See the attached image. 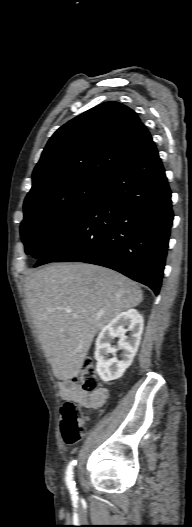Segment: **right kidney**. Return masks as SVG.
<instances>
[{"mask_svg": "<svg viewBox=\"0 0 192 527\" xmlns=\"http://www.w3.org/2000/svg\"><path fill=\"white\" fill-rule=\"evenodd\" d=\"M143 325L142 315L130 309L120 313L101 329L96 339L95 359L96 371L104 382L119 379L131 365L141 341ZM127 331H131L129 337L125 335ZM115 337L120 338L118 348H112L110 344ZM118 350H122L120 360L116 357Z\"/></svg>", "mask_w": 192, "mask_h": 527, "instance_id": "obj_1", "label": "right kidney"}]
</instances>
